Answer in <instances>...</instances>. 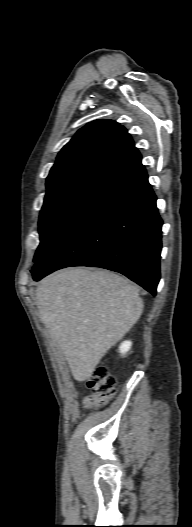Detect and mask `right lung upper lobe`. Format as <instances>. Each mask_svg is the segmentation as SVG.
<instances>
[{"mask_svg":"<svg viewBox=\"0 0 192 527\" xmlns=\"http://www.w3.org/2000/svg\"><path fill=\"white\" fill-rule=\"evenodd\" d=\"M140 157L127 130L112 120H95L62 148L47 177V189L84 178L109 181Z\"/></svg>","mask_w":192,"mask_h":527,"instance_id":"1","label":"right lung upper lobe"}]
</instances>
